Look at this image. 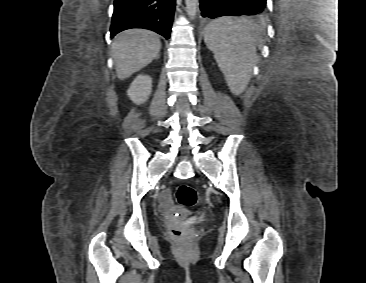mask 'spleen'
Returning <instances> with one entry per match:
<instances>
[{"label":"spleen","instance_id":"spleen-1","mask_svg":"<svg viewBox=\"0 0 366 283\" xmlns=\"http://www.w3.org/2000/svg\"><path fill=\"white\" fill-rule=\"evenodd\" d=\"M258 34L257 27L246 19L221 18L205 28L206 46L213 52L228 87L235 95L243 93L251 79L257 60L255 38Z\"/></svg>","mask_w":366,"mask_h":283}]
</instances>
